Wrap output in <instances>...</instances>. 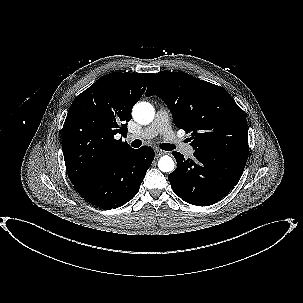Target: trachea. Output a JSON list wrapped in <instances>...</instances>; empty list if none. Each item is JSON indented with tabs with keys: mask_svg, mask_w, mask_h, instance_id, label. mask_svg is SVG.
Listing matches in <instances>:
<instances>
[{
	"mask_svg": "<svg viewBox=\"0 0 303 303\" xmlns=\"http://www.w3.org/2000/svg\"><path fill=\"white\" fill-rule=\"evenodd\" d=\"M141 144H142L141 140L136 139V140H134V141L131 143V146L134 147V148H138V147L141 146ZM161 148H162L163 150L170 151V150L174 149V145L169 144V143H163V144L161 145Z\"/></svg>",
	"mask_w": 303,
	"mask_h": 303,
	"instance_id": "trachea-1",
	"label": "trachea"
}]
</instances>
